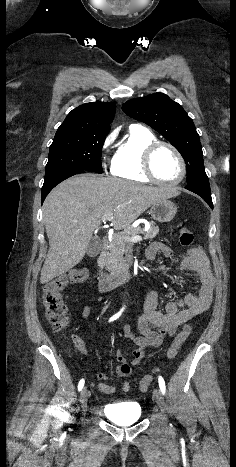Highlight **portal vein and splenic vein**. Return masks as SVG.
<instances>
[{"label": "portal vein and splenic vein", "instance_id": "1", "mask_svg": "<svg viewBox=\"0 0 236 467\" xmlns=\"http://www.w3.org/2000/svg\"><path fill=\"white\" fill-rule=\"evenodd\" d=\"M107 220H111V217L110 216H107L104 218V221H107ZM125 240L129 241V242H139L142 240V237L139 236V235H135V236H132V237H124Z\"/></svg>", "mask_w": 236, "mask_h": 467}]
</instances>
